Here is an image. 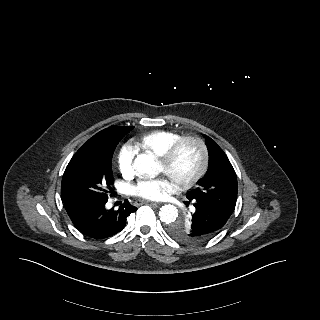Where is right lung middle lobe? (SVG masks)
<instances>
[{"label": "right lung middle lobe", "mask_w": 320, "mask_h": 320, "mask_svg": "<svg viewBox=\"0 0 320 320\" xmlns=\"http://www.w3.org/2000/svg\"><path fill=\"white\" fill-rule=\"evenodd\" d=\"M124 135L97 133L75 153L62 177L63 202L108 199L114 183L112 155Z\"/></svg>", "instance_id": "1"}]
</instances>
